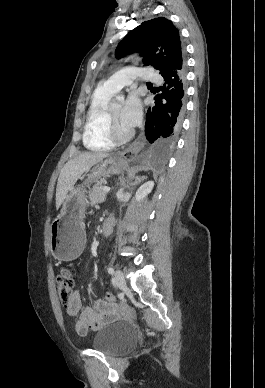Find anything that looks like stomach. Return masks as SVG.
<instances>
[{
	"mask_svg": "<svg viewBox=\"0 0 265 388\" xmlns=\"http://www.w3.org/2000/svg\"><path fill=\"white\" fill-rule=\"evenodd\" d=\"M126 165L124 158L118 155L109 156L91 172L84 174L81 177L83 183L67 195L61 213L51 225V252L56 259L71 261L81 254L85 241L82 219L88 205L87 189L110 174H120Z\"/></svg>",
	"mask_w": 265,
	"mask_h": 388,
	"instance_id": "1",
	"label": "stomach"
}]
</instances>
